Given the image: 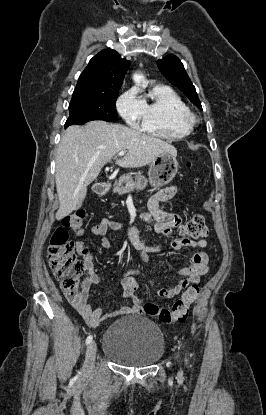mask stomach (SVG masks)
Here are the masks:
<instances>
[{"label": "stomach", "mask_w": 266, "mask_h": 415, "mask_svg": "<svg viewBox=\"0 0 266 415\" xmlns=\"http://www.w3.org/2000/svg\"><path fill=\"white\" fill-rule=\"evenodd\" d=\"M178 171V162L176 156L171 153H162L157 156L150 165L148 180L151 186H163L172 181ZM136 188L142 190L147 185V179L144 176L136 177Z\"/></svg>", "instance_id": "0dacf381"}]
</instances>
